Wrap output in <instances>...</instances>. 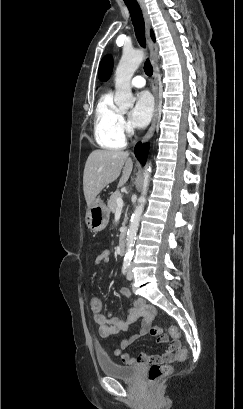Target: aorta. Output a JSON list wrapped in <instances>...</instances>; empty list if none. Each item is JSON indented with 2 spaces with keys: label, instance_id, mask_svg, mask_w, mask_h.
<instances>
[{
  "label": "aorta",
  "instance_id": "762f6f07",
  "mask_svg": "<svg viewBox=\"0 0 243 409\" xmlns=\"http://www.w3.org/2000/svg\"><path fill=\"white\" fill-rule=\"evenodd\" d=\"M144 59V52L141 50L124 51L115 72V104L122 110L132 108L135 102L131 91V78ZM151 166L147 163L143 173V184L138 205L132 214L126 238L125 258L131 259L134 253L133 247L139 227L140 217L144 210L146 194L149 185Z\"/></svg>",
  "mask_w": 243,
  "mask_h": 409
}]
</instances>
